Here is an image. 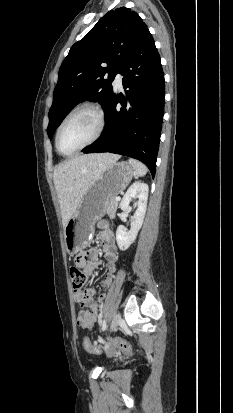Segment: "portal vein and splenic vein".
Here are the masks:
<instances>
[{
  "mask_svg": "<svg viewBox=\"0 0 233 413\" xmlns=\"http://www.w3.org/2000/svg\"><path fill=\"white\" fill-rule=\"evenodd\" d=\"M115 199H116V201H120L121 198H120V197H116Z\"/></svg>",
  "mask_w": 233,
  "mask_h": 413,
  "instance_id": "18ae733b",
  "label": "portal vein and splenic vein"
}]
</instances>
